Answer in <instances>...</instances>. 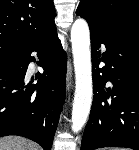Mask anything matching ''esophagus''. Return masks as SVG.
Here are the masks:
<instances>
[{
  "mask_svg": "<svg viewBox=\"0 0 139 150\" xmlns=\"http://www.w3.org/2000/svg\"><path fill=\"white\" fill-rule=\"evenodd\" d=\"M71 79H72V67L70 62H68V67H67V77H66V81H67V90L69 91L70 87H71Z\"/></svg>",
  "mask_w": 139,
  "mask_h": 150,
  "instance_id": "1",
  "label": "esophagus"
}]
</instances>
